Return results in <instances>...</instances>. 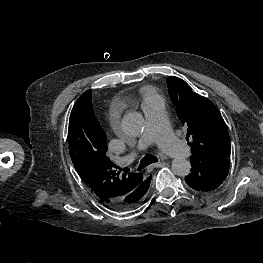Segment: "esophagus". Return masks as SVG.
Wrapping results in <instances>:
<instances>
[{"label":"esophagus","mask_w":263,"mask_h":263,"mask_svg":"<svg viewBox=\"0 0 263 263\" xmlns=\"http://www.w3.org/2000/svg\"><path fill=\"white\" fill-rule=\"evenodd\" d=\"M163 165H164L163 161L162 162L153 163V164H151V165H149L147 167V171L150 172V171L154 170L155 168L162 167Z\"/></svg>","instance_id":"34e87169"}]
</instances>
